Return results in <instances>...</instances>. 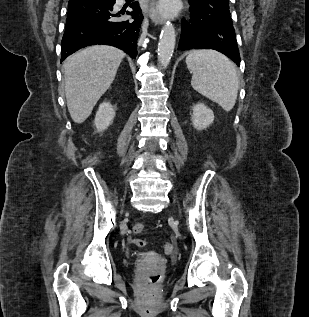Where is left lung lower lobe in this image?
Instances as JSON below:
<instances>
[{
	"mask_svg": "<svg viewBox=\"0 0 309 317\" xmlns=\"http://www.w3.org/2000/svg\"><path fill=\"white\" fill-rule=\"evenodd\" d=\"M188 21L182 20L178 49H214L240 66V54L232 21L190 8Z\"/></svg>",
	"mask_w": 309,
	"mask_h": 317,
	"instance_id": "0a47b994",
	"label": "left lung lower lobe"
}]
</instances>
